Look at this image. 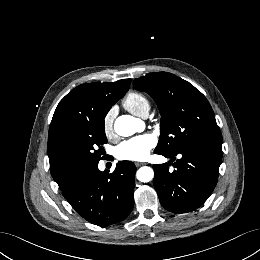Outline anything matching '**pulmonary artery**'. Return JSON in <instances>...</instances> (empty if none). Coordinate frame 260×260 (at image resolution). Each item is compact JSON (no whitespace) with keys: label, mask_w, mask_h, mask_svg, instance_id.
I'll return each mask as SVG.
<instances>
[{"label":"pulmonary artery","mask_w":260,"mask_h":260,"mask_svg":"<svg viewBox=\"0 0 260 260\" xmlns=\"http://www.w3.org/2000/svg\"><path fill=\"white\" fill-rule=\"evenodd\" d=\"M148 112L149 111H145L143 114H142V117L146 118L148 116Z\"/></svg>","instance_id":"1"}]
</instances>
